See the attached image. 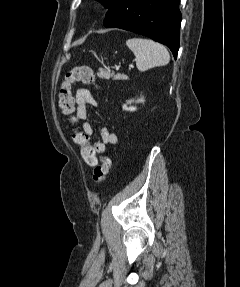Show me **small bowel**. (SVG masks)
I'll return each mask as SVG.
<instances>
[{
	"instance_id": "c3829d8e",
	"label": "small bowel",
	"mask_w": 240,
	"mask_h": 287,
	"mask_svg": "<svg viewBox=\"0 0 240 287\" xmlns=\"http://www.w3.org/2000/svg\"><path fill=\"white\" fill-rule=\"evenodd\" d=\"M75 117L81 122L82 130L89 136L93 133V126L87 120L88 108L97 106V101L91 91L86 88H79L74 97ZM118 137L111 133L105 126H100V139L94 143V148L98 154H104L107 145H117Z\"/></svg>"
}]
</instances>
